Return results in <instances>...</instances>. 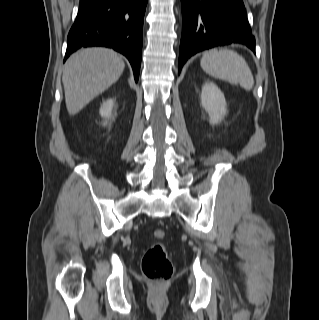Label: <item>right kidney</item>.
<instances>
[{
	"mask_svg": "<svg viewBox=\"0 0 319 320\" xmlns=\"http://www.w3.org/2000/svg\"><path fill=\"white\" fill-rule=\"evenodd\" d=\"M114 100L112 99H108L105 102H103V104L100 107V115L101 117L105 118V119H109L112 113V109L114 107ZM104 125H107V121L104 122Z\"/></svg>",
	"mask_w": 319,
	"mask_h": 320,
	"instance_id": "1",
	"label": "right kidney"
}]
</instances>
